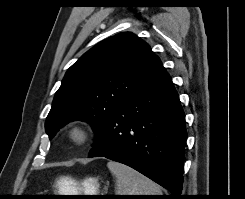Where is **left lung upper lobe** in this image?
<instances>
[{
    "instance_id": "1",
    "label": "left lung upper lobe",
    "mask_w": 245,
    "mask_h": 199,
    "mask_svg": "<svg viewBox=\"0 0 245 199\" xmlns=\"http://www.w3.org/2000/svg\"><path fill=\"white\" fill-rule=\"evenodd\" d=\"M160 59L136 35L124 32L101 41L66 72L45 122L51 139L64 124L91 123L99 141L109 116L155 75Z\"/></svg>"
}]
</instances>
